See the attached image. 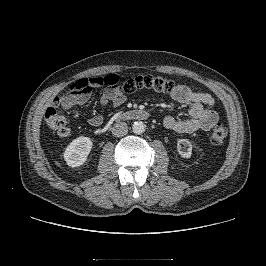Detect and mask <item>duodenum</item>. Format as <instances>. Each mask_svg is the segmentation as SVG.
<instances>
[{
    "label": "duodenum",
    "mask_w": 266,
    "mask_h": 266,
    "mask_svg": "<svg viewBox=\"0 0 266 266\" xmlns=\"http://www.w3.org/2000/svg\"><path fill=\"white\" fill-rule=\"evenodd\" d=\"M149 118V113L141 109H133L123 111L115 116L116 121L121 120H146Z\"/></svg>",
    "instance_id": "duodenum-1"
}]
</instances>
